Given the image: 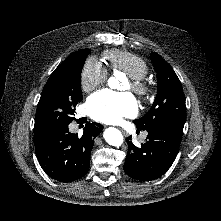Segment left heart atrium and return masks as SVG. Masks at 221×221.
Returning <instances> with one entry per match:
<instances>
[{
  "label": "left heart atrium",
  "instance_id": "1",
  "mask_svg": "<svg viewBox=\"0 0 221 221\" xmlns=\"http://www.w3.org/2000/svg\"><path fill=\"white\" fill-rule=\"evenodd\" d=\"M89 116L102 123H117L123 117L137 113V104L131 93L107 89L92 94L86 104Z\"/></svg>",
  "mask_w": 221,
  "mask_h": 221
}]
</instances>
